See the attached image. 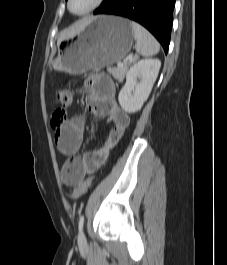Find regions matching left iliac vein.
I'll list each match as a JSON object with an SVG mask.
<instances>
[{"mask_svg": "<svg viewBox=\"0 0 227 265\" xmlns=\"http://www.w3.org/2000/svg\"><path fill=\"white\" fill-rule=\"evenodd\" d=\"M78 243L80 245H84L86 243V238H85L83 231H80V233H79Z\"/></svg>", "mask_w": 227, "mask_h": 265, "instance_id": "1", "label": "left iliac vein"}]
</instances>
